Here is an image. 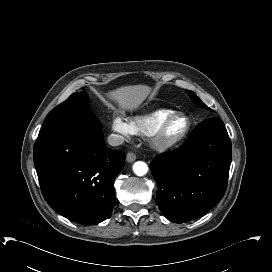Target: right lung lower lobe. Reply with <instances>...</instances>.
Instances as JSON below:
<instances>
[{
    "label": "right lung lower lobe",
    "instance_id": "98d812e1",
    "mask_svg": "<svg viewBox=\"0 0 272 272\" xmlns=\"http://www.w3.org/2000/svg\"><path fill=\"white\" fill-rule=\"evenodd\" d=\"M125 153L109 149L86 110L44 125L34 145L42 194L52 209L84 225L106 219L115 205L114 179Z\"/></svg>",
    "mask_w": 272,
    "mask_h": 272
}]
</instances>
